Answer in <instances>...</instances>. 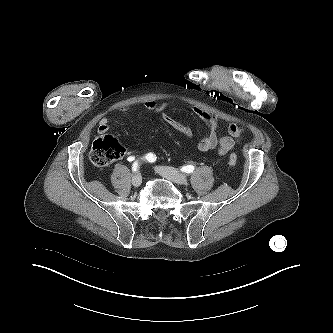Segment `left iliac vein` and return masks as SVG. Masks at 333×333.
I'll use <instances>...</instances> for the list:
<instances>
[{
    "label": "left iliac vein",
    "mask_w": 333,
    "mask_h": 333,
    "mask_svg": "<svg viewBox=\"0 0 333 333\" xmlns=\"http://www.w3.org/2000/svg\"><path fill=\"white\" fill-rule=\"evenodd\" d=\"M156 172L160 174L162 177L176 183L178 185H187L188 179L185 174L171 168L165 166L156 167Z\"/></svg>",
    "instance_id": "left-iliac-vein-1"
}]
</instances>
